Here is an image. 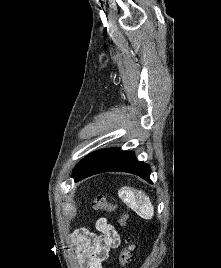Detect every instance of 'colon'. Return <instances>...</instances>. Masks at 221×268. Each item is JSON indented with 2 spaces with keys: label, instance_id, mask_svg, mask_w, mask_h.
<instances>
[{
  "label": "colon",
  "instance_id": "1",
  "mask_svg": "<svg viewBox=\"0 0 221 268\" xmlns=\"http://www.w3.org/2000/svg\"><path fill=\"white\" fill-rule=\"evenodd\" d=\"M92 206L96 210L106 211V212H112L117 209V205L107 200V198L103 195H98L93 200ZM128 221V214L125 211H122L118 223L121 227L126 226ZM133 245L130 244L128 241H126L125 245L123 246L120 256H119V262L123 268H127L132 263V257H133Z\"/></svg>",
  "mask_w": 221,
  "mask_h": 268
}]
</instances>
